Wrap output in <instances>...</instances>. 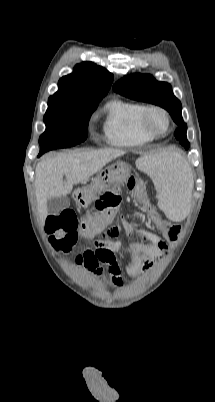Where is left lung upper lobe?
Segmentation results:
<instances>
[{
	"mask_svg": "<svg viewBox=\"0 0 215 402\" xmlns=\"http://www.w3.org/2000/svg\"><path fill=\"white\" fill-rule=\"evenodd\" d=\"M113 90L128 98L149 102L166 109L178 125L174 133L176 139L186 149L189 148L190 144L186 137L187 125L181 115V102L174 96L169 83L159 82L149 74H132L117 81Z\"/></svg>",
	"mask_w": 215,
	"mask_h": 402,
	"instance_id": "1",
	"label": "left lung upper lobe"
}]
</instances>
